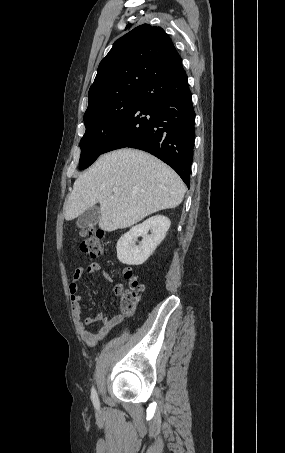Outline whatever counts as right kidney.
I'll use <instances>...</instances> for the list:
<instances>
[{"label": "right kidney", "instance_id": "obj_1", "mask_svg": "<svg viewBox=\"0 0 285 453\" xmlns=\"http://www.w3.org/2000/svg\"><path fill=\"white\" fill-rule=\"evenodd\" d=\"M170 224L166 216L156 215L132 227L117 242L118 260L127 265L143 264L165 238ZM138 237L143 239L139 245H136Z\"/></svg>", "mask_w": 285, "mask_h": 453}]
</instances>
